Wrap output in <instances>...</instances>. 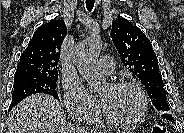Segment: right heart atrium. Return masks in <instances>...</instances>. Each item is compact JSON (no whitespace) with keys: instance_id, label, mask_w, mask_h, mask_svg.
<instances>
[{"instance_id":"obj_1","label":"right heart atrium","mask_w":184,"mask_h":133,"mask_svg":"<svg viewBox=\"0 0 184 133\" xmlns=\"http://www.w3.org/2000/svg\"><path fill=\"white\" fill-rule=\"evenodd\" d=\"M63 100L67 113L74 118L90 121L98 115L95 101L88 95L78 80L64 82Z\"/></svg>"}]
</instances>
